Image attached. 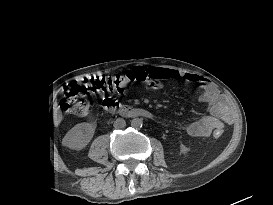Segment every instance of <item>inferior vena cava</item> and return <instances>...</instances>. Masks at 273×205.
Masks as SVG:
<instances>
[{"label":"inferior vena cava","instance_id":"602c4592","mask_svg":"<svg viewBox=\"0 0 273 205\" xmlns=\"http://www.w3.org/2000/svg\"><path fill=\"white\" fill-rule=\"evenodd\" d=\"M126 126V122L123 118H117L115 121H114V127L115 128H123Z\"/></svg>","mask_w":273,"mask_h":205}]
</instances>
